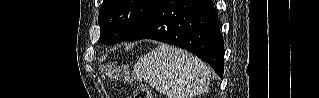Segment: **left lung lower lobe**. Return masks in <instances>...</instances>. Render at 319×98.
<instances>
[{
	"mask_svg": "<svg viewBox=\"0 0 319 98\" xmlns=\"http://www.w3.org/2000/svg\"><path fill=\"white\" fill-rule=\"evenodd\" d=\"M145 38L187 49L223 77L224 44L211 0H158L142 26L127 40Z\"/></svg>",
	"mask_w": 319,
	"mask_h": 98,
	"instance_id": "obj_1",
	"label": "left lung lower lobe"
}]
</instances>
